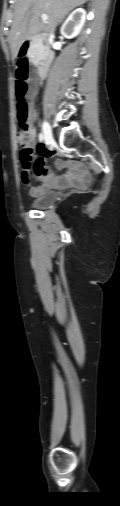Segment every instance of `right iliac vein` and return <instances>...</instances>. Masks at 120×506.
<instances>
[{"label":"right iliac vein","mask_w":120,"mask_h":506,"mask_svg":"<svg viewBox=\"0 0 120 506\" xmlns=\"http://www.w3.org/2000/svg\"><path fill=\"white\" fill-rule=\"evenodd\" d=\"M43 135H44V140L47 144L53 143L54 139H53V135H52V130H51L50 125L47 122H44V124H43Z\"/></svg>","instance_id":"63e3f726"}]
</instances>
